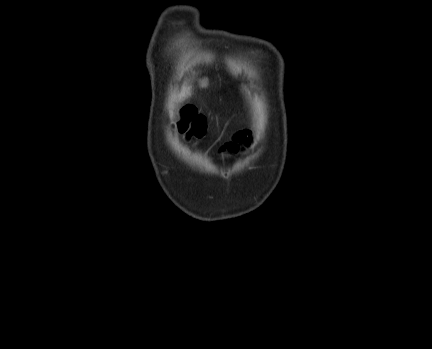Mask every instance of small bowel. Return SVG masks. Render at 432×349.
Here are the masks:
<instances>
[{"mask_svg": "<svg viewBox=\"0 0 432 349\" xmlns=\"http://www.w3.org/2000/svg\"><path fill=\"white\" fill-rule=\"evenodd\" d=\"M238 140L240 142H243L245 145H248L250 143V139L247 137V134L244 132L239 134Z\"/></svg>", "mask_w": 432, "mask_h": 349, "instance_id": "c3829d8e", "label": "small bowel"}]
</instances>
